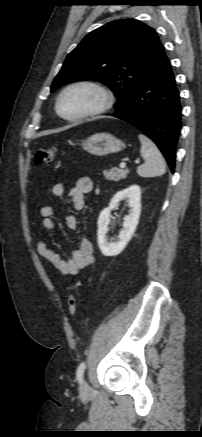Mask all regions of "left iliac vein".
I'll use <instances>...</instances> for the list:
<instances>
[{
    "label": "left iliac vein",
    "instance_id": "left-iliac-vein-1",
    "mask_svg": "<svg viewBox=\"0 0 202 437\" xmlns=\"http://www.w3.org/2000/svg\"><path fill=\"white\" fill-rule=\"evenodd\" d=\"M89 389H90L89 385L87 384L86 381H84V382L82 383V385H81V391H82V392H88Z\"/></svg>",
    "mask_w": 202,
    "mask_h": 437
}]
</instances>
